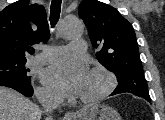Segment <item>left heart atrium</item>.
Segmentation results:
<instances>
[{"label": "left heart atrium", "mask_w": 165, "mask_h": 120, "mask_svg": "<svg viewBox=\"0 0 165 120\" xmlns=\"http://www.w3.org/2000/svg\"><path fill=\"white\" fill-rule=\"evenodd\" d=\"M87 68L76 60L54 64L44 70L43 82L63 96H78L87 79Z\"/></svg>", "instance_id": "obj_1"}]
</instances>
